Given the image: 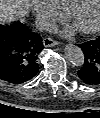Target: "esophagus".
Instances as JSON below:
<instances>
[{
	"label": "esophagus",
	"mask_w": 100,
	"mask_h": 118,
	"mask_svg": "<svg viewBox=\"0 0 100 118\" xmlns=\"http://www.w3.org/2000/svg\"><path fill=\"white\" fill-rule=\"evenodd\" d=\"M58 44H60V42H58V41H56V40H54L50 37H47V38L43 39V45L45 47H53V46H56Z\"/></svg>",
	"instance_id": "34e87169"
}]
</instances>
